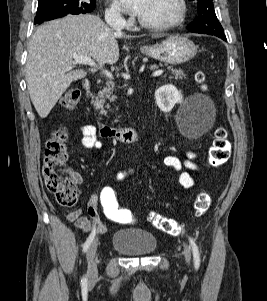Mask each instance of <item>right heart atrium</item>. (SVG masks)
Wrapping results in <instances>:
<instances>
[{"mask_svg":"<svg viewBox=\"0 0 267 301\" xmlns=\"http://www.w3.org/2000/svg\"><path fill=\"white\" fill-rule=\"evenodd\" d=\"M106 18L109 21H124L119 6L116 2H110L106 10Z\"/></svg>","mask_w":267,"mask_h":301,"instance_id":"d8ad5b80","label":"right heart atrium"}]
</instances>
